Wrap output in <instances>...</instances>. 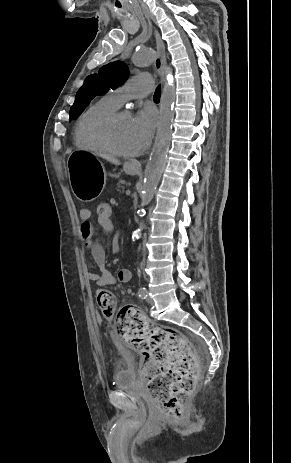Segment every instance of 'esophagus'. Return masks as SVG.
<instances>
[{
	"instance_id": "1",
	"label": "esophagus",
	"mask_w": 291,
	"mask_h": 463,
	"mask_svg": "<svg viewBox=\"0 0 291 463\" xmlns=\"http://www.w3.org/2000/svg\"><path fill=\"white\" fill-rule=\"evenodd\" d=\"M155 38H156V46H157V57L154 62V66L159 72L162 81H165V73H164V65L166 63V54H165V46L161 37L157 31H155ZM130 164L136 167H141V162L138 160L130 161Z\"/></svg>"
}]
</instances>
